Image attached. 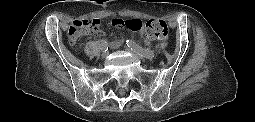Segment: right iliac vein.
Returning a JSON list of instances; mask_svg holds the SVG:
<instances>
[{
  "label": "right iliac vein",
  "mask_w": 255,
  "mask_h": 122,
  "mask_svg": "<svg viewBox=\"0 0 255 122\" xmlns=\"http://www.w3.org/2000/svg\"><path fill=\"white\" fill-rule=\"evenodd\" d=\"M109 52L108 51H103L101 56L102 58H106L108 56Z\"/></svg>",
  "instance_id": "obj_1"
}]
</instances>
